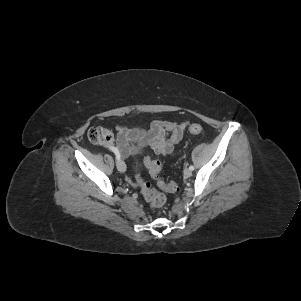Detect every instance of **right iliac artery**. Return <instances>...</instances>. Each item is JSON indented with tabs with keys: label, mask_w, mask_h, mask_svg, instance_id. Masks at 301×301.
Segmentation results:
<instances>
[{
	"label": "right iliac artery",
	"mask_w": 301,
	"mask_h": 301,
	"mask_svg": "<svg viewBox=\"0 0 301 301\" xmlns=\"http://www.w3.org/2000/svg\"><path fill=\"white\" fill-rule=\"evenodd\" d=\"M109 149L115 153L116 159H120V153L115 147H110Z\"/></svg>",
	"instance_id": "1"
}]
</instances>
